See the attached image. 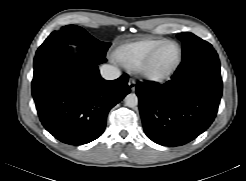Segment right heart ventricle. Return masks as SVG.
Masks as SVG:
<instances>
[{
  "mask_svg": "<svg viewBox=\"0 0 246 181\" xmlns=\"http://www.w3.org/2000/svg\"><path fill=\"white\" fill-rule=\"evenodd\" d=\"M163 43V40L147 37L119 47L114 55L125 67L135 68Z\"/></svg>",
  "mask_w": 246,
  "mask_h": 181,
  "instance_id": "right-heart-ventricle-1",
  "label": "right heart ventricle"
}]
</instances>
